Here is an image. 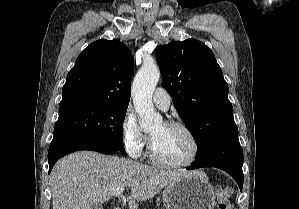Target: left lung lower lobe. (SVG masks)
Instances as JSON below:
<instances>
[{
    "label": "left lung lower lobe",
    "mask_w": 299,
    "mask_h": 209,
    "mask_svg": "<svg viewBox=\"0 0 299 209\" xmlns=\"http://www.w3.org/2000/svg\"><path fill=\"white\" fill-rule=\"evenodd\" d=\"M243 151L238 140V129L218 137L211 146L187 169L216 167L229 173L243 187Z\"/></svg>",
    "instance_id": "0a47b994"
}]
</instances>
